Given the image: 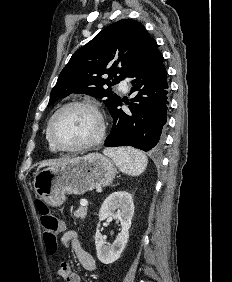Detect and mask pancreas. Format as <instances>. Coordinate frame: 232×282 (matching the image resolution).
I'll return each mask as SVG.
<instances>
[{
    "label": "pancreas",
    "instance_id": "cf45deb5",
    "mask_svg": "<svg viewBox=\"0 0 232 282\" xmlns=\"http://www.w3.org/2000/svg\"><path fill=\"white\" fill-rule=\"evenodd\" d=\"M86 214H87V206H81L74 212V216L82 220L85 218Z\"/></svg>",
    "mask_w": 232,
    "mask_h": 282
}]
</instances>
